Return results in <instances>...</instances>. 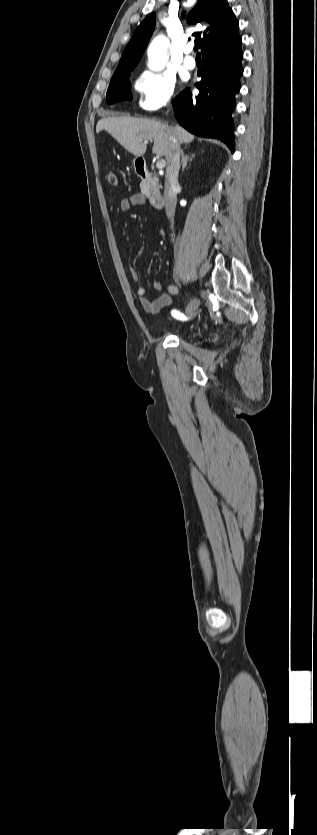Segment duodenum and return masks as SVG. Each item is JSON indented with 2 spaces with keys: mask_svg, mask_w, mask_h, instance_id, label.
<instances>
[{
  "mask_svg": "<svg viewBox=\"0 0 317 835\" xmlns=\"http://www.w3.org/2000/svg\"><path fill=\"white\" fill-rule=\"evenodd\" d=\"M136 172L141 178L148 180L152 184L154 183V178L147 164L141 159H138L136 161ZM149 202L154 208L161 209L164 205V198L162 193L158 190H154L149 196Z\"/></svg>",
  "mask_w": 317,
  "mask_h": 835,
  "instance_id": "1",
  "label": "duodenum"
}]
</instances>
